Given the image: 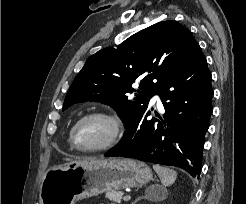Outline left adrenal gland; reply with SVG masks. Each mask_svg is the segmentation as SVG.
<instances>
[{
	"label": "left adrenal gland",
	"mask_w": 246,
	"mask_h": 204,
	"mask_svg": "<svg viewBox=\"0 0 246 204\" xmlns=\"http://www.w3.org/2000/svg\"><path fill=\"white\" fill-rule=\"evenodd\" d=\"M142 197H138L132 204H135L139 199H141Z\"/></svg>",
	"instance_id": "left-adrenal-gland-1"
}]
</instances>
